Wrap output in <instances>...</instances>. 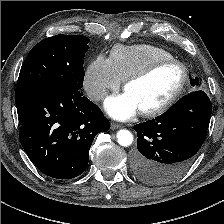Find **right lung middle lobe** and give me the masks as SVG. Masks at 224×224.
<instances>
[{
    "mask_svg": "<svg viewBox=\"0 0 224 224\" xmlns=\"http://www.w3.org/2000/svg\"><path fill=\"white\" fill-rule=\"evenodd\" d=\"M89 41L81 35H56L35 45L20 70L15 91L16 105L42 90L80 92L85 75L83 58Z\"/></svg>",
    "mask_w": 224,
    "mask_h": 224,
    "instance_id": "obj_1",
    "label": "right lung middle lobe"
}]
</instances>
